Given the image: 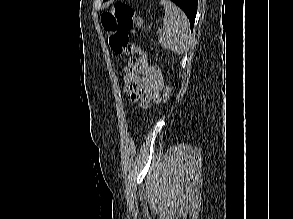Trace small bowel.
Here are the masks:
<instances>
[{
    "mask_svg": "<svg viewBox=\"0 0 293 219\" xmlns=\"http://www.w3.org/2000/svg\"><path fill=\"white\" fill-rule=\"evenodd\" d=\"M124 80L131 101L143 107L160 102L164 80L157 66L148 65L139 74H126Z\"/></svg>",
    "mask_w": 293,
    "mask_h": 219,
    "instance_id": "c3829d8e",
    "label": "small bowel"
}]
</instances>
